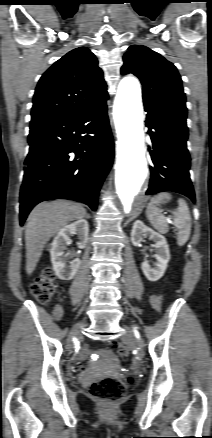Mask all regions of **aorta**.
<instances>
[{
  "mask_svg": "<svg viewBox=\"0 0 212 438\" xmlns=\"http://www.w3.org/2000/svg\"><path fill=\"white\" fill-rule=\"evenodd\" d=\"M142 112L138 80L133 77L122 79L113 108L118 135L115 185L126 213L131 211L133 200L147 177Z\"/></svg>",
  "mask_w": 212,
  "mask_h": 438,
  "instance_id": "1",
  "label": "aorta"
}]
</instances>
